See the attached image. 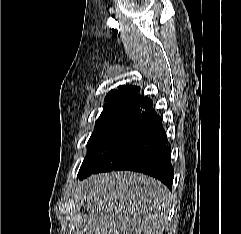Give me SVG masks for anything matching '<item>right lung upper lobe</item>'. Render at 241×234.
Here are the masks:
<instances>
[{
	"label": "right lung upper lobe",
	"mask_w": 241,
	"mask_h": 234,
	"mask_svg": "<svg viewBox=\"0 0 241 234\" xmlns=\"http://www.w3.org/2000/svg\"><path fill=\"white\" fill-rule=\"evenodd\" d=\"M139 88L137 86L126 85L119 86L118 90H112L105 98V106L107 105H136L139 106L147 97L138 95Z\"/></svg>",
	"instance_id": "1"
}]
</instances>
